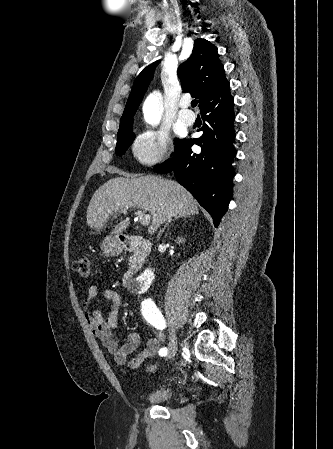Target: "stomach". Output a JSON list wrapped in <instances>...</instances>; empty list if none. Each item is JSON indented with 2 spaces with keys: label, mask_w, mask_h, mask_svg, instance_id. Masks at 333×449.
Returning a JSON list of instances; mask_svg holds the SVG:
<instances>
[{
  "label": "stomach",
  "mask_w": 333,
  "mask_h": 449,
  "mask_svg": "<svg viewBox=\"0 0 333 449\" xmlns=\"http://www.w3.org/2000/svg\"><path fill=\"white\" fill-rule=\"evenodd\" d=\"M101 250L105 256H117L122 252V247L117 238L110 236L103 240Z\"/></svg>",
  "instance_id": "0dacf381"
}]
</instances>
